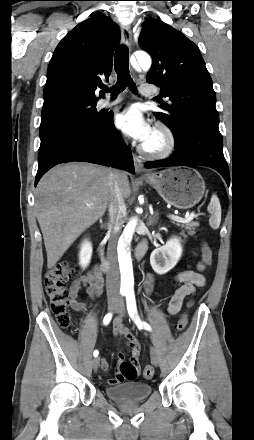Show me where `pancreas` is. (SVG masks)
I'll use <instances>...</instances> for the list:
<instances>
[{
	"label": "pancreas",
	"mask_w": 254,
	"mask_h": 440,
	"mask_svg": "<svg viewBox=\"0 0 254 440\" xmlns=\"http://www.w3.org/2000/svg\"><path fill=\"white\" fill-rule=\"evenodd\" d=\"M176 225L187 230L189 235H193L195 233L194 230L196 227L199 226V223L194 221H189L185 223H177ZM181 234L185 236L184 231H182Z\"/></svg>",
	"instance_id": "cf45deb5"
}]
</instances>
